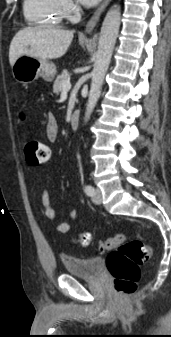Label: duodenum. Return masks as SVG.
Returning a JSON list of instances; mask_svg holds the SVG:
<instances>
[{
  "instance_id": "1",
  "label": "duodenum",
  "mask_w": 171,
  "mask_h": 337,
  "mask_svg": "<svg viewBox=\"0 0 171 337\" xmlns=\"http://www.w3.org/2000/svg\"><path fill=\"white\" fill-rule=\"evenodd\" d=\"M80 115L78 111H74L70 118V126L72 129H77L79 126Z\"/></svg>"
}]
</instances>
